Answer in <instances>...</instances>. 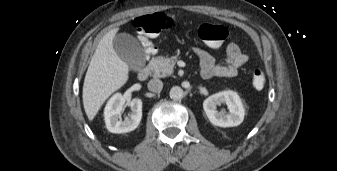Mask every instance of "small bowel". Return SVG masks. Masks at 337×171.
<instances>
[{"label": "small bowel", "instance_id": "small-bowel-1", "mask_svg": "<svg viewBox=\"0 0 337 171\" xmlns=\"http://www.w3.org/2000/svg\"><path fill=\"white\" fill-rule=\"evenodd\" d=\"M195 53L201 65V76L204 79L213 77L232 78L238 74L239 69L248 61V56L243 53L235 43L226 47V58L223 63H217L214 57L206 50L196 48Z\"/></svg>", "mask_w": 337, "mask_h": 171}]
</instances>
